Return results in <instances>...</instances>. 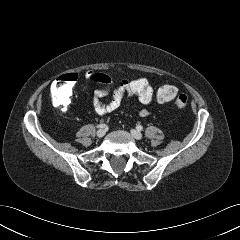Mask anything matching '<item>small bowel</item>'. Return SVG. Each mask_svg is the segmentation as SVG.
Returning <instances> with one entry per match:
<instances>
[{"mask_svg":"<svg viewBox=\"0 0 240 240\" xmlns=\"http://www.w3.org/2000/svg\"><path fill=\"white\" fill-rule=\"evenodd\" d=\"M92 75V71L86 72V77L90 78ZM112 89L113 83L111 82L94 91L92 105L95 112L100 116L108 115L109 113L117 110L121 106L125 97H132L127 91L125 80H122L114 89L111 101L108 103L102 102V98L106 96ZM138 115L140 117H147L150 115V112L147 109H141L138 111Z\"/></svg>","mask_w":240,"mask_h":240,"instance_id":"c3829d8e","label":"small bowel"}]
</instances>
